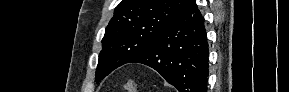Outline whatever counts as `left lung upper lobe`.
Segmentation results:
<instances>
[{
  "label": "left lung upper lobe",
  "instance_id": "5c2ea615",
  "mask_svg": "<svg viewBox=\"0 0 289 92\" xmlns=\"http://www.w3.org/2000/svg\"><path fill=\"white\" fill-rule=\"evenodd\" d=\"M191 0H123L102 39L96 81L144 52Z\"/></svg>",
  "mask_w": 289,
  "mask_h": 92
}]
</instances>
